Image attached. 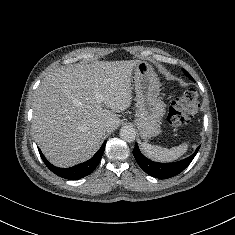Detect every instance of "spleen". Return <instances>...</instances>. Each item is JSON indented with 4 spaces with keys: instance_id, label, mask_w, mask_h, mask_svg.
Instances as JSON below:
<instances>
[{
    "instance_id": "obj_1",
    "label": "spleen",
    "mask_w": 235,
    "mask_h": 235,
    "mask_svg": "<svg viewBox=\"0 0 235 235\" xmlns=\"http://www.w3.org/2000/svg\"><path fill=\"white\" fill-rule=\"evenodd\" d=\"M187 149H188L187 143H183L171 149L151 145L146 142L142 143V150L145 153V155L152 160L161 161V162L174 161L180 156H182L184 153H186Z\"/></svg>"
}]
</instances>
